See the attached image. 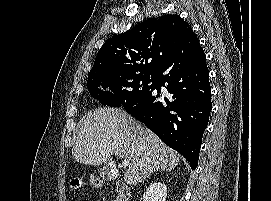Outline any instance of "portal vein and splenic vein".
<instances>
[{
	"label": "portal vein and splenic vein",
	"instance_id": "obj_1",
	"mask_svg": "<svg viewBox=\"0 0 271 201\" xmlns=\"http://www.w3.org/2000/svg\"><path fill=\"white\" fill-rule=\"evenodd\" d=\"M122 165L125 167L129 166V160L127 158H124L122 161Z\"/></svg>",
	"mask_w": 271,
	"mask_h": 201
}]
</instances>
